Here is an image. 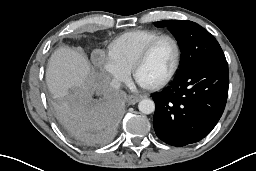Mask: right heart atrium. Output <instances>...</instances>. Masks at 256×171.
<instances>
[{
    "label": "right heart atrium",
    "mask_w": 256,
    "mask_h": 171,
    "mask_svg": "<svg viewBox=\"0 0 256 171\" xmlns=\"http://www.w3.org/2000/svg\"><path fill=\"white\" fill-rule=\"evenodd\" d=\"M95 60L115 83L124 82L128 77V70L118 64L109 55L101 52L95 54Z\"/></svg>",
    "instance_id": "obj_1"
}]
</instances>
